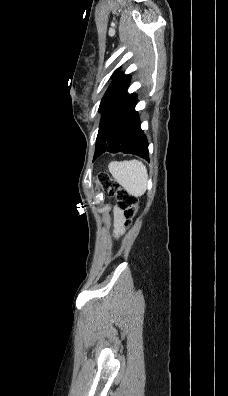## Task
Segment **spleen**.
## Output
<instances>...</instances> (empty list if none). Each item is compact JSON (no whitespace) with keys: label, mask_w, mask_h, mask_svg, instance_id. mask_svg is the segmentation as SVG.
Returning <instances> with one entry per match:
<instances>
[{"label":"spleen","mask_w":228,"mask_h":396,"mask_svg":"<svg viewBox=\"0 0 228 396\" xmlns=\"http://www.w3.org/2000/svg\"><path fill=\"white\" fill-rule=\"evenodd\" d=\"M116 181L132 196H142L147 188L148 173L138 160L111 162L108 166Z\"/></svg>","instance_id":"spleen-1"}]
</instances>
